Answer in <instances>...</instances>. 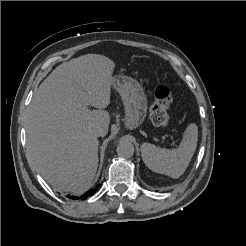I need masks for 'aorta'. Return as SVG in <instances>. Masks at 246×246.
Returning a JSON list of instances; mask_svg holds the SVG:
<instances>
[{"label": "aorta", "mask_w": 246, "mask_h": 246, "mask_svg": "<svg viewBox=\"0 0 246 246\" xmlns=\"http://www.w3.org/2000/svg\"><path fill=\"white\" fill-rule=\"evenodd\" d=\"M117 154L119 157L125 159L132 157L134 154L133 144L129 140L122 138L117 146Z\"/></svg>", "instance_id": "1"}]
</instances>
